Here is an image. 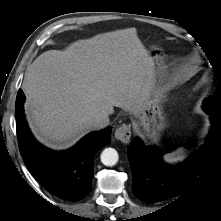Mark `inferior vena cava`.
<instances>
[{"label":"inferior vena cava","mask_w":221,"mask_h":221,"mask_svg":"<svg viewBox=\"0 0 221 221\" xmlns=\"http://www.w3.org/2000/svg\"><path fill=\"white\" fill-rule=\"evenodd\" d=\"M109 113H112V111ZM109 113L108 112L97 113L90 119L89 124L93 129L105 128L109 124V117H108Z\"/></svg>","instance_id":"obj_1"}]
</instances>
